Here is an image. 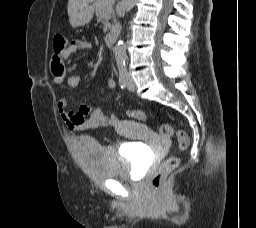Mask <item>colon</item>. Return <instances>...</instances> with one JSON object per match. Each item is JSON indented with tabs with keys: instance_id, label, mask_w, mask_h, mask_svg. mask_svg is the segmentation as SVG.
I'll list each match as a JSON object with an SVG mask.
<instances>
[{
	"instance_id": "1",
	"label": "colon",
	"mask_w": 256,
	"mask_h": 228,
	"mask_svg": "<svg viewBox=\"0 0 256 228\" xmlns=\"http://www.w3.org/2000/svg\"><path fill=\"white\" fill-rule=\"evenodd\" d=\"M67 46L66 39L62 35H55L53 38V50L54 53L62 52ZM132 119L141 121L145 118V114L141 110H135L131 113ZM159 133L163 137H171L175 134L178 140V146L181 151H184L189 146V137L187 133L182 129L175 130L171 124H162L159 127ZM180 163L178 157L168 158L159 168L158 172L154 176L153 186L155 189H160L165 181L166 176L174 170Z\"/></svg>"
}]
</instances>
